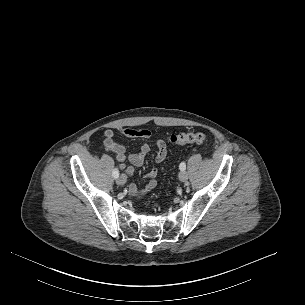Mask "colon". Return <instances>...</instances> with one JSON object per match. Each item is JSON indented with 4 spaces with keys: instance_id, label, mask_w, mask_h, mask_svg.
<instances>
[{
    "instance_id": "obj_1",
    "label": "colon",
    "mask_w": 305,
    "mask_h": 305,
    "mask_svg": "<svg viewBox=\"0 0 305 305\" xmlns=\"http://www.w3.org/2000/svg\"><path fill=\"white\" fill-rule=\"evenodd\" d=\"M206 140L207 136L202 132L178 133L170 136V142L173 145L200 144Z\"/></svg>"
}]
</instances>
